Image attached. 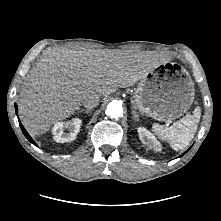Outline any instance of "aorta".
Returning <instances> with one entry per match:
<instances>
[{
  "label": "aorta",
  "instance_id": "obj_1",
  "mask_svg": "<svg viewBox=\"0 0 221 221\" xmlns=\"http://www.w3.org/2000/svg\"><path fill=\"white\" fill-rule=\"evenodd\" d=\"M107 114L111 118H121L123 116L122 104H120L118 101H112L107 106Z\"/></svg>",
  "mask_w": 221,
  "mask_h": 221
}]
</instances>
